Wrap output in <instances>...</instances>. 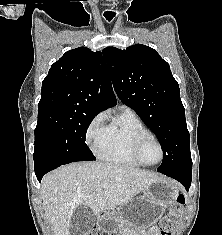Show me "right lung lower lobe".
<instances>
[{
  "mask_svg": "<svg viewBox=\"0 0 222 235\" xmlns=\"http://www.w3.org/2000/svg\"><path fill=\"white\" fill-rule=\"evenodd\" d=\"M59 166H61V165H57V166H54V167H50V168H47V169H44V170L35 172L38 181L41 182L42 177H43L47 172H49V171H51V170H53V169H55V168H57V167H59Z\"/></svg>",
  "mask_w": 222,
  "mask_h": 235,
  "instance_id": "98d812e1",
  "label": "right lung lower lobe"
}]
</instances>
